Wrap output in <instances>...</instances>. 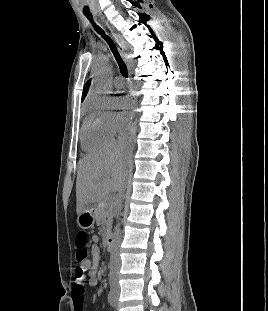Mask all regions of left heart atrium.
<instances>
[{"instance_id":"1","label":"left heart atrium","mask_w":268,"mask_h":311,"mask_svg":"<svg viewBox=\"0 0 268 311\" xmlns=\"http://www.w3.org/2000/svg\"><path fill=\"white\" fill-rule=\"evenodd\" d=\"M114 105L118 109H127L130 107V101L125 97H116L114 98Z\"/></svg>"}]
</instances>
